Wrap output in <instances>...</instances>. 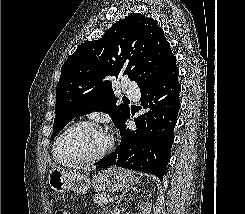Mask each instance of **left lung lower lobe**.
<instances>
[{
    "mask_svg": "<svg viewBox=\"0 0 245 214\" xmlns=\"http://www.w3.org/2000/svg\"><path fill=\"white\" fill-rule=\"evenodd\" d=\"M179 70L173 64L164 76L141 91V105L149 111L135 119L136 131L121 128V143L116 151L96 163L97 168L116 165L150 173L162 180L170 160L173 130L181 106Z\"/></svg>",
    "mask_w": 245,
    "mask_h": 214,
    "instance_id": "obj_1",
    "label": "left lung lower lobe"
}]
</instances>
